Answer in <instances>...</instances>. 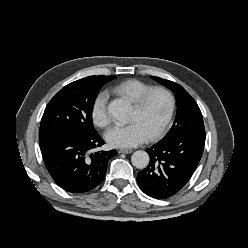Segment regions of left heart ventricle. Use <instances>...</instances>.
<instances>
[{
	"instance_id": "left-heart-ventricle-1",
	"label": "left heart ventricle",
	"mask_w": 248,
	"mask_h": 248,
	"mask_svg": "<svg viewBox=\"0 0 248 248\" xmlns=\"http://www.w3.org/2000/svg\"><path fill=\"white\" fill-rule=\"evenodd\" d=\"M168 112V100L162 93H155L150 97L142 110L133 107L130 122H139L150 135L163 122Z\"/></svg>"
}]
</instances>
